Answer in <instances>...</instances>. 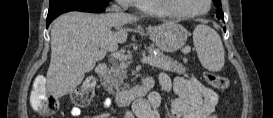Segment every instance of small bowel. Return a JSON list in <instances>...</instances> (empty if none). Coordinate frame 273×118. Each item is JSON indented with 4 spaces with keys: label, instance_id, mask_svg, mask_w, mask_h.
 Here are the masks:
<instances>
[{
    "label": "small bowel",
    "instance_id": "1",
    "mask_svg": "<svg viewBox=\"0 0 273 118\" xmlns=\"http://www.w3.org/2000/svg\"><path fill=\"white\" fill-rule=\"evenodd\" d=\"M159 83L166 93L174 92L176 98L171 102L170 118H215V108L218 102L217 94L201 84L194 77L176 76L171 79L166 73H160ZM150 106L140 104L135 107L138 117L160 118V97L154 95L149 100ZM105 105H111L110 100ZM82 111L79 107L70 110L72 117H79ZM105 116V115H104ZM102 116V117H104Z\"/></svg>",
    "mask_w": 273,
    "mask_h": 118
}]
</instances>
